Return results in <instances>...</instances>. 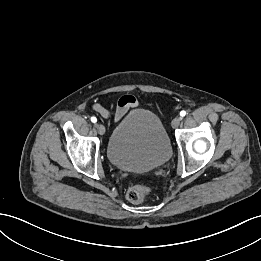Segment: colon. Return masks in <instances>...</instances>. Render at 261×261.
<instances>
[{
  "mask_svg": "<svg viewBox=\"0 0 261 261\" xmlns=\"http://www.w3.org/2000/svg\"><path fill=\"white\" fill-rule=\"evenodd\" d=\"M149 192L150 188L148 186L136 184L128 189L127 198L132 203H140L146 198Z\"/></svg>",
  "mask_w": 261,
  "mask_h": 261,
  "instance_id": "5ec220e1",
  "label": "colon"
}]
</instances>
